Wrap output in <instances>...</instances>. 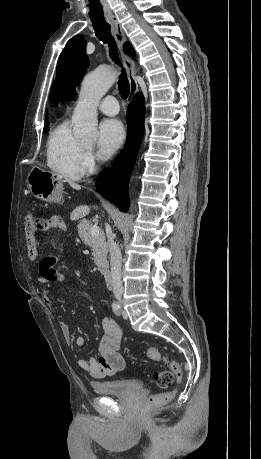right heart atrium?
<instances>
[{
    "mask_svg": "<svg viewBox=\"0 0 261 459\" xmlns=\"http://www.w3.org/2000/svg\"><path fill=\"white\" fill-rule=\"evenodd\" d=\"M96 158L91 149L84 148L81 157V169L83 173L90 172L94 169Z\"/></svg>",
    "mask_w": 261,
    "mask_h": 459,
    "instance_id": "1",
    "label": "right heart atrium"
}]
</instances>
